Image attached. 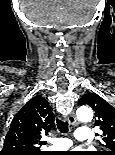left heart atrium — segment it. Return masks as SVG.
<instances>
[{
	"mask_svg": "<svg viewBox=\"0 0 115 155\" xmlns=\"http://www.w3.org/2000/svg\"><path fill=\"white\" fill-rule=\"evenodd\" d=\"M67 155H81V154H80L79 151H75V152H73V153H71V154H67Z\"/></svg>",
	"mask_w": 115,
	"mask_h": 155,
	"instance_id": "1",
	"label": "left heart atrium"
}]
</instances>
